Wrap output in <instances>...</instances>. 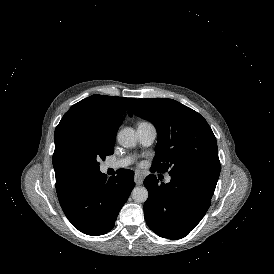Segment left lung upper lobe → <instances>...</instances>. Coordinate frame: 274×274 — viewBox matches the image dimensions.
<instances>
[{
    "label": "left lung upper lobe",
    "mask_w": 274,
    "mask_h": 274,
    "mask_svg": "<svg viewBox=\"0 0 274 274\" xmlns=\"http://www.w3.org/2000/svg\"><path fill=\"white\" fill-rule=\"evenodd\" d=\"M128 114L149 120L157 129L158 142L151 170L218 179L220 161L216 138L199 113L173 99L149 98L135 100Z\"/></svg>",
    "instance_id": "left-lung-upper-lobe-1"
}]
</instances>
